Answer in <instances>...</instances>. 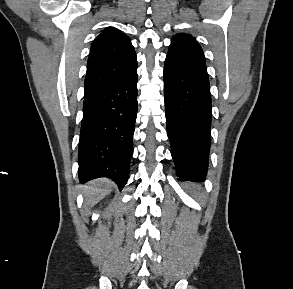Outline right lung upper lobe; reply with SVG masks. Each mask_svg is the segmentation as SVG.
<instances>
[{
	"mask_svg": "<svg viewBox=\"0 0 293 289\" xmlns=\"http://www.w3.org/2000/svg\"><path fill=\"white\" fill-rule=\"evenodd\" d=\"M136 75L137 59L130 38L114 27H107L91 45L84 97L124 83Z\"/></svg>",
	"mask_w": 293,
	"mask_h": 289,
	"instance_id": "1",
	"label": "right lung upper lobe"
}]
</instances>
